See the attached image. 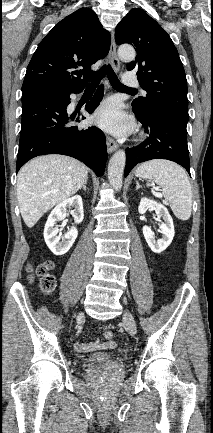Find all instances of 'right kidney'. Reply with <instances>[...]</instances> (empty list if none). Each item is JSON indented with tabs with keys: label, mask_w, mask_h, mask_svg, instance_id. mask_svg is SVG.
<instances>
[{
	"label": "right kidney",
	"mask_w": 213,
	"mask_h": 433,
	"mask_svg": "<svg viewBox=\"0 0 213 433\" xmlns=\"http://www.w3.org/2000/svg\"><path fill=\"white\" fill-rule=\"evenodd\" d=\"M73 207L70 211L76 224L84 219L82 198L75 195L59 203L50 213L44 228V240L49 249L57 256L66 254L75 242L78 231L72 228L64 236L58 235L59 229L55 226L56 221H62L67 216V208ZM62 239V241H60Z\"/></svg>",
	"instance_id": "ca27d5eb"
}]
</instances>
